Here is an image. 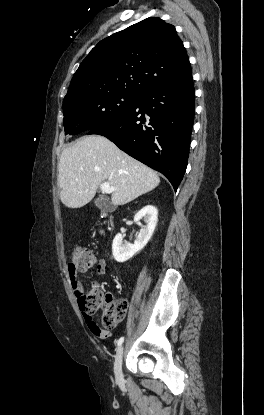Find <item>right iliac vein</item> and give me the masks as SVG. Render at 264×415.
Instances as JSON below:
<instances>
[{"label": "right iliac vein", "instance_id": "obj_1", "mask_svg": "<svg viewBox=\"0 0 264 415\" xmlns=\"http://www.w3.org/2000/svg\"><path fill=\"white\" fill-rule=\"evenodd\" d=\"M122 359H123V346H120L116 353L115 365H114L115 377L118 381L122 380L123 378Z\"/></svg>", "mask_w": 264, "mask_h": 415}]
</instances>
